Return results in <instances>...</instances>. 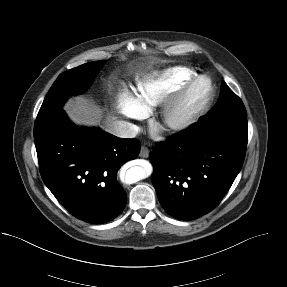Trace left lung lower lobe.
<instances>
[{
    "instance_id": "1",
    "label": "left lung lower lobe",
    "mask_w": 287,
    "mask_h": 287,
    "mask_svg": "<svg viewBox=\"0 0 287 287\" xmlns=\"http://www.w3.org/2000/svg\"><path fill=\"white\" fill-rule=\"evenodd\" d=\"M247 133L215 129L201 119L150 152L152 183L164 210L196 219L223 199L245 158Z\"/></svg>"
}]
</instances>
